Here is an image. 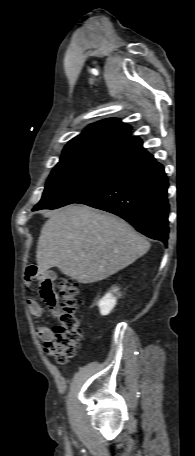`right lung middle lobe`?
Returning a JSON list of instances; mask_svg holds the SVG:
<instances>
[{
	"label": "right lung middle lobe",
	"mask_w": 195,
	"mask_h": 456,
	"mask_svg": "<svg viewBox=\"0 0 195 456\" xmlns=\"http://www.w3.org/2000/svg\"><path fill=\"white\" fill-rule=\"evenodd\" d=\"M123 169L94 162L76 161L57 164L34 210L55 209L92 194Z\"/></svg>",
	"instance_id": "right-lung-middle-lobe-1"
}]
</instances>
